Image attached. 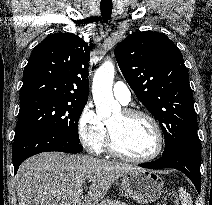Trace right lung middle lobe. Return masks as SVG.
I'll use <instances>...</instances> for the list:
<instances>
[{"mask_svg":"<svg viewBox=\"0 0 212 205\" xmlns=\"http://www.w3.org/2000/svg\"><path fill=\"white\" fill-rule=\"evenodd\" d=\"M20 101L15 139L34 132H51L79 142L78 121L87 102L49 97Z\"/></svg>","mask_w":212,"mask_h":205,"instance_id":"dd1d6c3e","label":"right lung middle lobe"}]
</instances>
